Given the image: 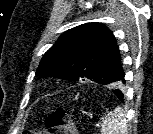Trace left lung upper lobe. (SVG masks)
<instances>
[{
  "label": "left lung upper lobe",
  "mask_w": 153,
  "mask_h": 134,
  "mask_svg": "<svg viewBox=\"0 0 153 134\" xmlns=\"http://www.w3.org/2000/svg\"><path fill=\"white\" fill-rule=\"evenodd\" d=\"M122 71L113 33L102 23L93 22L62 34L45 53L36 73L74 81L89 79L121 90L125 84Z\"/></svg>",
  "instance_id": "5c2ea615"
}]
</instances>
